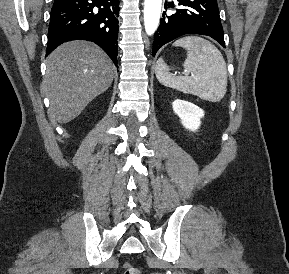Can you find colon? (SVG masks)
I'll use <instances>...</instances> for the list:
<instances>
[{"label":"colon","instance_id":"1","mask_svg":"<svg viewBox=\"0 0 289 274\" xmlns=\"http://www.w3.org/2000/svg\"><path fill=\"white\" fill-rule=\"evenodd\" d=\"M123 268H124V274H141L140 270L131 265L130 263H125L123 265Z\"/></svg>","mask_w":289,"mask_h":274}]
</instances>
